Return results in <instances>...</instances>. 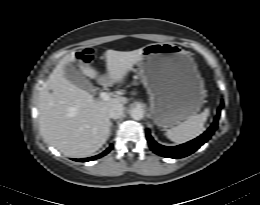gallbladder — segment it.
Listing matches in <instances>:
<instances>
[{
	"label": "gallbladder",
	"mask_w": 260,
	"mask_h": 205,
	"mask_svg": "<svg viewBox=\"0 0 260 205\" xmlns=\"http://www.w3.org/2000/svg\"><path fill=\"white\" fill-rule=\"evenodd\" d=\"M64 72L65 78L76 86L85 90L93 89L90 81L73 64H66Z\"/></svg>",
	"instance_id": "1"
}]
</instances>
